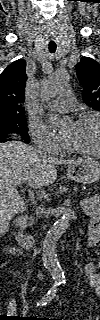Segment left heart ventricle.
<instances>
[{
    "label": "left heart ventricle",
    "mask_w": 100,
    "mask_h": 320,
    "mask_svg": "<svg viewBox=\"0 0 100 320\" xmlns=\"http://www.w3.org/2000/svg\"><path fill=\"white\" fill-rule=\"evenodd\" d=\"M64 137L83 149L93 150L99 141V125L95 120H87L81 124L71 123Z\"/></svg>",
    "instance_id": "obj_1"
}]
</instances>
